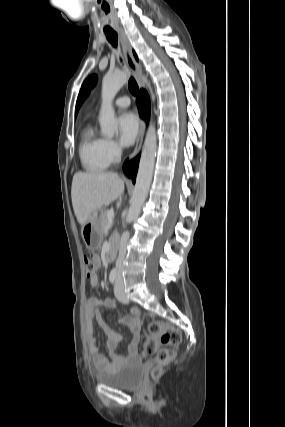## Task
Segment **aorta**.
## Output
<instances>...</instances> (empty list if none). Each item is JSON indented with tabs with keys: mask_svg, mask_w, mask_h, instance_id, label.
Listing matches in <instances>:
<instances>
[{
	"mask_svg": "<svg viewBox=\"0 0 285 427\" xmlns=\"http://www.w3.org/2000/svg\"><path fill=\"white\" fill-rule=\"evenodd\" d=\"M128 75L126 72H118L104 76L102 80V103L99 114V123L101 133L112 138L118 132L117 122L115 120V111L112 102L117 92L127 82ZM157 153V136L153 123L149 124L137 173L136 183L130 202V207L126 216V222L131 223L136 219L142 205L148 195L152 181L155 158Z\"/></svg>",
	"mask_w": 285,
	"mask_h": 427,
	"instance_id": "aorta-1",
	"label": "aorta"
}]
</instances>
